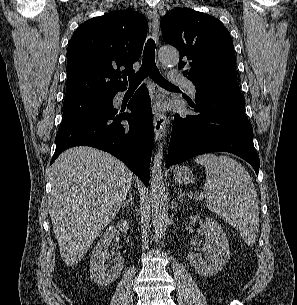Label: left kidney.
I'll return each instance as SVG.
<instances>
[{
  "label": "left kidney",
  "mask_w": 297,
  "mask_h": 305,
  "mask_svg": "<svg viewBox=\"0 0 297 305\" xmlns=\"http://www.w3.org/2000/svg\"><path fill=\"white\" fill-rule=\"evenodd\" d=\"M199 219L196 215L191 218L190 223H195ZM204 234L203 249L206 253L202 258L200 253H189L188 259L191 266L201 276H212L222 270L223 266L230 258L229 244L221 226L212 218H206L202 223Z\"/></svg>",
  "instance_id": "left-kidney-1"
}]
</instances>
